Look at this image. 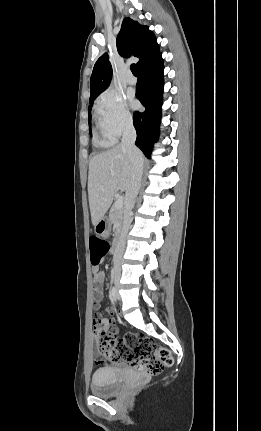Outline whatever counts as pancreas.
Returning a JSON list of instances; mask_svg holds the SVG:
<instances>
[{
  "label": "pancreas",
  "mask_w": 261,
  "mask_h": 431,
  "mask_svg": "<svg viewBox=\"0 0 261 431\" xmlns=\"http://www.w3.org/2000/svg\"><path fill=\"white\" fill-rule=\"evenodd\" d=\"M123 219V207L116 208L115 204L110 209L109 212V221L116 226V232H118L122 225Z\"/></svg>",
  "instance_id": "obj_1"
}]
</instances>
